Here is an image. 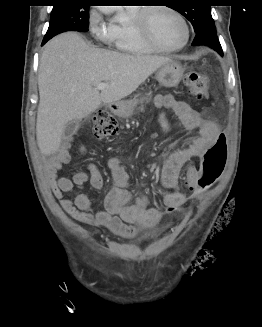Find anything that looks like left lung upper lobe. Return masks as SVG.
Segmentation results:
<instances>
[{"instance_id": "1", "label": "left lung upper lobe", "mask_w": 262, "mask_h": 327, "mask_svg": "<svg viewBox=\"0 0 262 327\" xmlns=\"http://www.w3.org/2000/svg\"><path fill=\"white\" fill-rule=\"evenodd\" d=\"M180 1H172V6L174 10L181 13L186 17L194 27L195 33H198L204 27L209 24L214 23V20L211 16V6L205 4L204 0H195L193 1L195 5H182L177 4Z\"/></svg>"}]
</instances>
